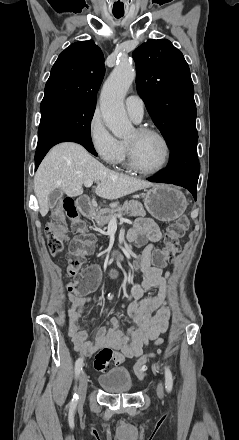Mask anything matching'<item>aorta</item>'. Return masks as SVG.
I'll list each match as a JSON object with an SVG mask.
<instances>
[{
  "mask_svg": "<svg viewBox=\"0 0 239 440\" xmlns=\"http://www.w3.org/2000/svg\"><path fill=\"white\" fill-rule=\"evenodd\" d=\"M135 76L136 72L128 60H119L118 66H115L107 78L100 96V108L106 126L113 136L120 140L134 132V126L127 118L123 100Z\"/></svg>",
  "mask_w": 239,
  "mask_h": 440,
  "instance_id": "aorta-1",
  "label": "aorta"
}]
</instances>
